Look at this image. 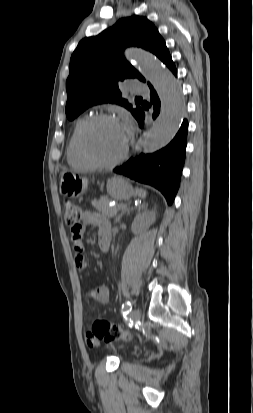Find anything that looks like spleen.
Segmentation results:
<instances>
[{
    "instance_id": "obj_1",
    "label": "spleen",
    "mask_w": 253,
    "mask_h": 413,
    "mask_svg": "<svg viewBox=\"0 0 253 413\" xmlns=\"http://www.w3.org/2000/svg\"><path fill=\"white\" fill-rule=\"evenodd\" d=\"M136 194L140 197V198H145L147 195V192L145 190H143L142 188H136Z\"/></svg>"
}]
</instances>
